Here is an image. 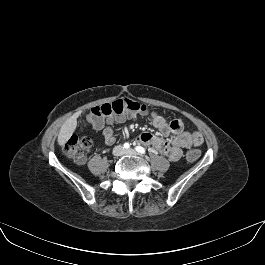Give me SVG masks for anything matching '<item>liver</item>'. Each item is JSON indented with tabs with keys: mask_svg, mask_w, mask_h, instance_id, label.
<instances>
[{
	"mask_svg": "<svg viewBox=\"0 0 265 265\" xmlns=\"http://www.w3.org/2000/svg\"><path fill=\"white\" fill-rule=\"evenodd\" d=\"M80 114H81L80 112L74 113L61 126L57 140L60 146H63L74 133L77 127V118L79 117Z\"/></svg>",
	"mask_w": 265,
	"mask_h": 265,
	"instance_id": "liver-1",
	"label": "liver"
}]
</instances>
